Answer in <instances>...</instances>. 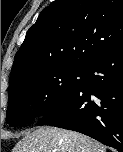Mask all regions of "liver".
I'll use <instances>...</instances> for the list:
<instances>
[{
    "mask_svg": "<svg viewBox=\"0 0 123 152\" xmlns=\"http://www.w3.org/2000/svg\"><path fill=\"white\" fill-rule=\"evenodd\" d=\"M13 152H106V147L78 132L41 127L28 132Z\"/></svg>",
    "mask_w": 123,
    "mask_h": 152,
    "instance_id": "obj_1",
    "label": "liver"
}]
</instances>
